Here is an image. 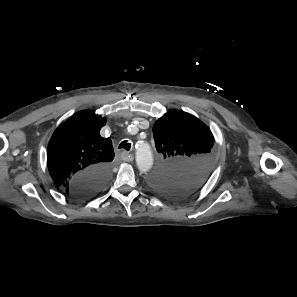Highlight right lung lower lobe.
<instances>
[{
	"label": "right lung lower lobe",
	"mask_w": 297,
	"mask_h": 297,
	"mask_svg": "<svg viewBox=\"0 0 297 297\" xmlns=\"http://www.w3.org/2000/svg\"><path fill=\"white\" fill-rule=\"evenodd\" d=\"M110 177V166L99 165L89 168L71 180L66 193L75 198H89L102 190Z\"/></svg>",
	"instance_id": "right-lung-lower-lobe-1"
}]
</instances>
